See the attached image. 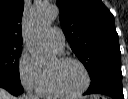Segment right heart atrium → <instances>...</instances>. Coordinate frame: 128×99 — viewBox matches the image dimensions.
I'll return each instance as SVG.
<instances>
[{"mask_svg":"<svg viewBox=\"0 0 128 99\" xmlns=\"http://www.w3.org/2000/svg\"><path fill=\"white\" fill-rule=\"evenodd\" d=\"M18 74L21 85L28 91L38 92L45 81V71L38 65L34 57L24 51L18 63Z\"/></svg>","mask_w":128,"mask_h":99,"instance_id":"d8ad5b80","label":"right heart atrium"}]
</instances>
